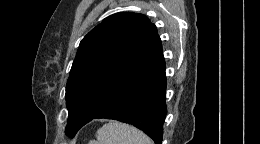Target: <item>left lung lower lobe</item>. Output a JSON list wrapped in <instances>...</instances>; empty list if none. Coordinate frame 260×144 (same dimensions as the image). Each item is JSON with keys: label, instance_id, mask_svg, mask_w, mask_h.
Masks as SVG:
<instances>
[{"label": "left lung lower lobe", "instance_id": "1", "mask_svg": "<svg viewBox=\"0 0 260 144\" xmlns=\"http://www.w3.org/2000/svg\"><path fill=\"white\" fill-rule=\"evenodd\" d=\"M158 61L153 59L131 73L93 119L131 124L145 132L155 144H161L167 115V85Z\"/></svg>", "mask_w": 260, "mask_h": 144}]
</instances>
